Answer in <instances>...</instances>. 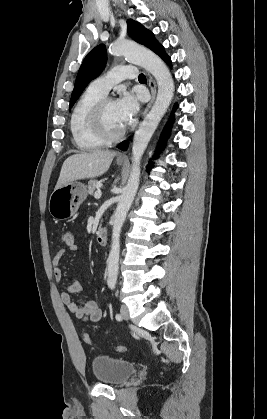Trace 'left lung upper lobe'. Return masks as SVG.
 <instances>
[{"label":"left lung upper lobe","mask_w":267,"mask_h":419,"mask_svg":"<svg viewBox=\"0 0 267 419\" xmlns=\"http://www.w3.org/2000/svg\"><path fill=\"white\" fill-rule=\"evenodd\" d=\"M127 31L133 40L148 47L156 54L163 47L156 41L153 33L147 30L139 22L129 19L127 21ZM106 61L107 52L105 45L103 44L96 46L88 53L79 69L70 100V107L74 105L82 91L91 82V80L96 78L102 72L106 65Z\"/></svg>","instance_id":"left-lung-upper-lobe-1"}]
</instances>
